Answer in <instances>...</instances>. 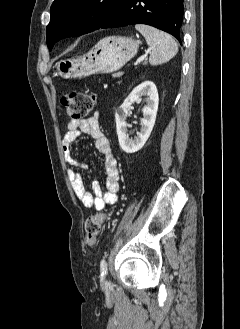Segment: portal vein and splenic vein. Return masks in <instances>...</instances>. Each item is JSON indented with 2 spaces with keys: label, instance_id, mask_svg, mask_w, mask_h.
<instances>
[{
  "label": "portal vein and splenic vein",
  "instance_id": "18ae733b",
  "mask_svg": "<svg viewBox=\"0 0 240 329\" xmlns=\"http://www.w3.org/2000/svg\"><path fill=\"white\" fill-rule=\"evenodd\" d=\"M147 55H148V53H146L145 55H142L141 57H139V58L135 61L134 65L137 66L139 63H141L142 61H144V60L146 59Z\"/></svg>",
  "mask_w": 240,
  "mask_h": 329
}]
</instances>
